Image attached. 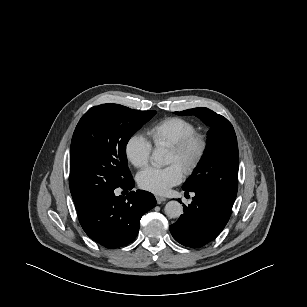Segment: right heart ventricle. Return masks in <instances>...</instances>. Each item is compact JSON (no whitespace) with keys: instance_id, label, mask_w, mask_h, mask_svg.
Returning a JSON list of instances; mask_svg holds the SVG:
<instances>
[{"instance_id":"right-heart-ventricle-1","label":"right heart ventricle","mask_w":307,"mask_h":307,"mask_svg":"<svg viewBox=\"0 0 307 307\" xmlns=\"http://www.w3.org/2000/svg\"><path fill=\"white\" fill-rule=\"evenodd\" d=\"M195 130L196 126L190 120L181 117H168L153 125L148 130V135L157 148H169Z\"/></svg>"}]
</instances>
